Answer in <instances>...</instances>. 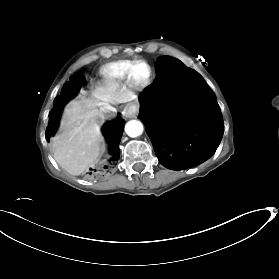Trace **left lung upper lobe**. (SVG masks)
Here are the masks:
<instances>
[{
    "label": "left lung upper lobe",
    "mask_w": 279,
    "mask_h": 279,
    "mask_svg": "<svg viewBox=\"0 0 279 279\" xmlns=\"http://www.w3.org/2000/svg\"><path fill=\"white\" fill-rule=\"evenodd\" d=\"M165 57H169V56L159 57L157 62H159V61L163 60ZM172 58H173V57H172ZM177 60H178V59H177ZM157 62H156V63H157ZM180 62H181V61H180ZM181 63H182V62H181Z\"/></svg>",
    "instance_id": "1"
}]
</instances>
